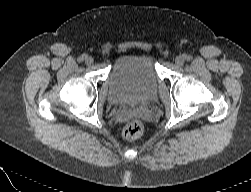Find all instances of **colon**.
I'll return each mask as SVG.
<instances>
[{
  "label": "colon",
  "instance_id": "colon-1",
  "mask_svg": "<svg viewBox=\"0 0 251 192\" xmlns=\"http://www.w3.org/2000/svg\"><path fill=\"white\" fill-rule=\"evenodd\" d=\"M143 134V125L138 120L128 122L123 129V137L127 140H135Z\"/></svg>",
  "mask_w": 251,
  "mask_h": 192
}]
</instances>
